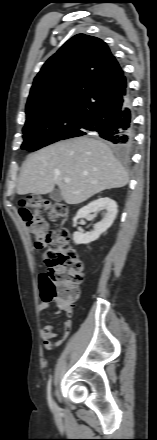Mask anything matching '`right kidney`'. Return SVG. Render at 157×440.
Returning <instances> with one entry per match:
<instances>
[{
	"mask_svg": "<svg viewBox=\"0 0 157 440\" xmlns=\"http://www.w3.org/2000/svg\"><path fill=\"white\" fill-rule=\"evenodd\" d=\"M105 209L106 214L103 219L94 225L93 231L82 233L74 232L73 241L76 244H88L97 240L101 234H103L114 222L117 215V204L114 200L109 197L99 198L95 201L90 202L88 205L82 207L73 218V226H77V220L80 218H86L91 213L99 212Z\"/></svg>",
	"mask_w": 157,
	"mask_h": 440,
	"instance_id": "1",
	"label": "right kidney"
}]
</instances>
